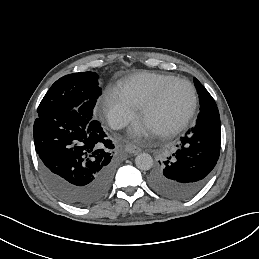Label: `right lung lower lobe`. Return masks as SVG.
Instances as JSON below:
<instances>
[{
	"instance_id": "1",
	"label": "right lung lower lobe",
	"mask_w": 259,
	"mask_h": 259,
	"mask_svg": "<svg viewBox=\"0 0 259 259\" xmlns=\"http://www.w3.org/2000/svg\"><path fill=\"white\" fill-rule=\"evenodd\" d=\"M33 130L43 177L60 199L86 207L104 197L115 171L114 145L98 120L51 111L38 115Z\"/></svg>"
}]
</instances>
